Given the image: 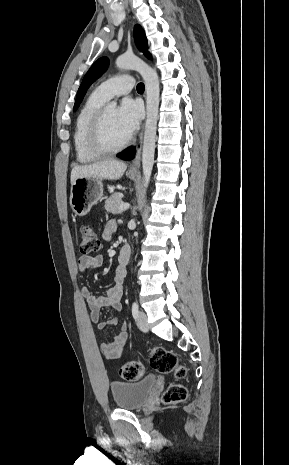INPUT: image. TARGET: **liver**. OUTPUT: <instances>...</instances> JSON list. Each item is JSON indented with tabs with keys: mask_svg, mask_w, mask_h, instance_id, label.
<instances>
[{
	"mask_svg": "<svg viewBox=\"0 0 289 465\" xmlns=\"http://www.w3.org/2000/svg\"><path fill=\"white\" fill-rule=\"evenodd\" d=\"M127 168L126 163L118 160H105L89 165H77L71 171V184L82 177H97L109 180L119 179Z\"/></svg>",
	"mask_w": 289,
	"mask_h": 465,
	"instance_id": "6515ba94",
	"label": "liver"
}]
</instances>
